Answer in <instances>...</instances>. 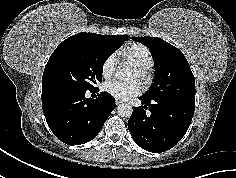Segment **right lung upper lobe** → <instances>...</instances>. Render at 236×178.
I'll use <instances>...</instances> for the list:
<instances>
[{
	"label": "right lung upper lobe",
	"mask_w": 236,
	"mask_h": 178,
	"mask_svg": "<svg viewBox=\"0 0 236 178\" xmlns=\"http://www.w3.org/2000/svg\"><path fill=\"white\" fill-rule=\"evenodd\" d=\"M73 36H86V37H100V38H107V39H119L121 38L122 35H100V34H95V33H79Z\"/></svg>",
	"instance_id": "cb5924a9"
}]
</instances>
